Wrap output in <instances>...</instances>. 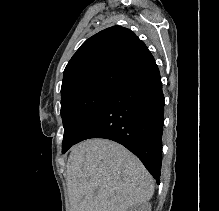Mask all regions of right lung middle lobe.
<instances>
[{"instance_id": "right-lung-middle-lobe-1", "label": "right lung middle lobe", "mask_w": 219, "mask_h": 211, "mask_svg": "<svg viewBox=\"0 0 219 211\" xmlns=\"http://www.w3.org/2000/svg\"><path fill=\"white\" fill-rule=\"evenodd\" d=\"M116 85L97 84L61 100V116L64 126L62 153H65L98 111Z\"/></svg>"}]
</instances>
